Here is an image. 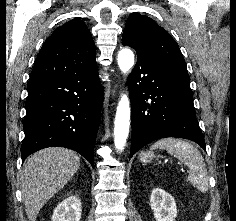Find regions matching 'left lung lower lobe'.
Listing matches in <instances>:
<instances>
[{
  "mask_svg": "<svg viewBox=\"0 0 236 221\" xmlns=\"http://www.w3.org/2000/svg\"><path fill=\"white\" fill-rule=\"evenodd\" d=\"M189 82L188 73L137 54V63L128 77L132 123L130 156L146 144L165 137L190 139L206 150Z\"/></svg>",
  "mask_w": 236,
  "mask_h": 221,
  "instance_id": "1",
  "label": "left lung lower lobe"
}]
</instances>
